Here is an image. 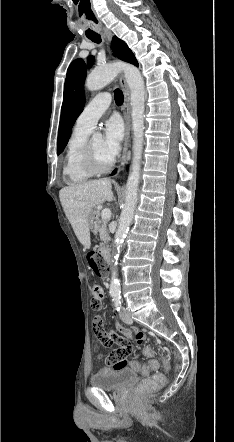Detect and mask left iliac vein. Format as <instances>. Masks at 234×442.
I'll return each instance as SVG.
<instances>
[{"label":"left iliac vein","instance_id":"1","mask_svg":"<svg viewBox=\"0 0 234 442\" xmlns=\"http://www.w3.org/2000/svg\"><path fill=\"white\" fill-rule=\"evenodd\" d=\"M120 318L122 319L123 322H125L126 324H131L133 322L130 314L128 313L127 309L122 308L121 312H120Z\"/></svg>","mask_w":234,"mask_h":442}]
</instances>
